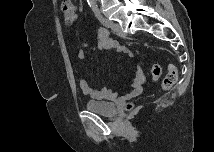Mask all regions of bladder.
<instances>
[{
    "label": "bladder",
    "instance_id": "1",
    "mask_svg": "<svg viewBox=\"0 0 215 152\" xmlns=\"http://www.w3.org/2000/svg\"><path fill=\"white\" fill-rule=\"evenodd\" d=\"M85 108L90 112L106 117H113L117 113V106L112 102L87 100L85 102Z\"/></svg>",
    "mask_w": 215,
    "mask_h": 152
}]
</instances>
